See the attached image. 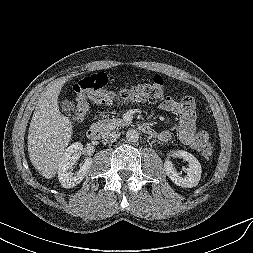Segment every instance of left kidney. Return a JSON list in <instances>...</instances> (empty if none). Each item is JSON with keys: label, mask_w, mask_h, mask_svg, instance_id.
Returning a JSON list of instances; mask_svg holds the SVG:
<instances>
[{"label": "left kidney", "mask_w": 253, "mask_h": 253, "mask_svg": "<svg viewBox=\"0 0 253 253\" xmlns=\"http://www.w3.org/2000/svg\"><path fill=\"white\" fill-rule=\"evenodd\" d=\"M171 154L182 158L189 164V167L186 169V176L182 177L179 176L169 159L165 161L164 170L172 182L178 186L186 188H192L198 185L201 178L202 169L197 158L194 157L191 153L184 150L174 151Z\"/></svg>", "instance_id": "5707ae66"}]
</instances>
